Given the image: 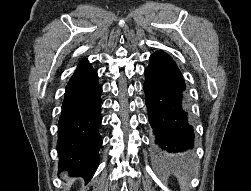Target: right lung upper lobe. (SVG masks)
Segmentation results:
<instances>
[{
	"mask_svg": "<svg viewBox=\"0 0 251 191\" xmlns=\"http://www.w3.org/2000/svg\"><path fill=\"white\" fill-rule=\"evenodd\" d=\"M96 71L92 68V66L89 64V62L86 59H83L76 71L74 72L73 76L71 77L69 83L78 81L80 79H83L93 73H95Z\"/></svg>",
	"mask_w": 251,
	"mask_h": 191,
	"instance_id": "right-lung-upper-lobe-1",
	"label": "right lung upper lobe"
}]
</instances>
